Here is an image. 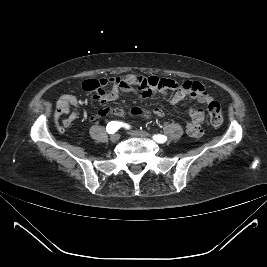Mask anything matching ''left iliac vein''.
<instances>
[{
  "instance_id": "1",
  "label": "left iliac vein",
  "mask_w": 267,
  "mask_h": 267,
  "mask_svg": "<svg viewBox=\"0 0 267 267\" xmlns=\"http://www.w3.org/2000/svg\"><path fill=\"white\" fill-rule=\"evenodd\" d=\"M130 134L135 137H145V138L151 137L150 134L145 131H132Z\"/></svg>"
}]
</instances>
